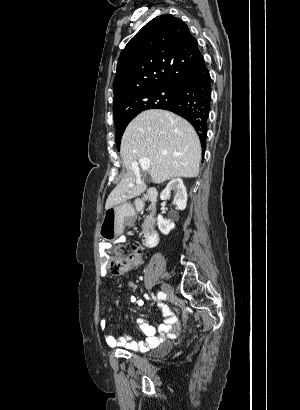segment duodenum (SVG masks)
Returning <instances> with one entry per match:
<instances>
[{"label": "duodenum", "instance_id": "duodenum-1", "mask_svg": "<svg viewBox=\"0 0 300 410\" xmlns=\"http://www.w3.org/2000/svg\"><path fill=\"white\" fill-rule=\"evenodd\" d=\"M148 198L152 203H155L156 200L158 199V191L157 190L149 191ZM153 222H154V213H153V210H151L150 218L148 221L149 226L146 229L143 239H142L143 245L147 248L155 247L159 241V233L154 227H152Z\"/></svg>", "mask_w": 300, "mask_h": 410}]
</instances>
